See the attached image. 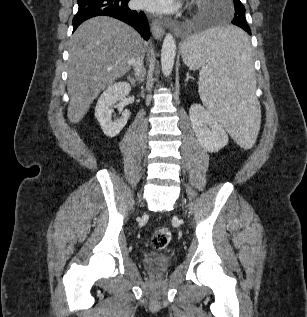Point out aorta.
I'll return each instance as SVG.
<instances>
[{
  "instance_id": "1",
  "label": "aorta",
  "mask_w": 307,
  "mask_h": 317,
  "mask_svg": "<svg viewBox=\"0 0 307 317\" xmlns=\"http://www.w3.org/2000/svg\"><path fill=\"white\" fill-rule=\"evenodd\" d=\"M176 55V42L174 37L169 33L165 36L161 49V69L164 76L172 73Z\"/></svg>"
}]
</instances>
